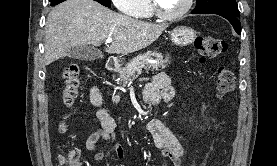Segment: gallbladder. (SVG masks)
I'll use <instances>...</instances> for the list:
<instances>
[{
  "label": "gallbladder",
  "instance_id": "obj_1",
  "mask_svg": "<svg viewBox=\"0 0 277 166\" xmlns=\"http://www.w3.org/2000/svg\"><path fill=\"white\" fill-rule=\"evenodd\" d=\"M68 56L79 60L91 61L101 58V53L91 46H77L68 51Z\"/></svg>",
  "mask_w": 277,
  "mask_h": 166
}]
</instances>
